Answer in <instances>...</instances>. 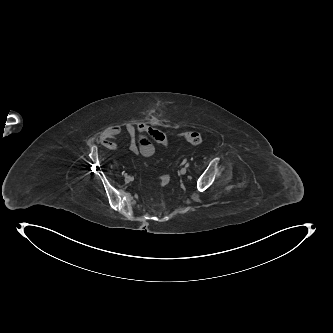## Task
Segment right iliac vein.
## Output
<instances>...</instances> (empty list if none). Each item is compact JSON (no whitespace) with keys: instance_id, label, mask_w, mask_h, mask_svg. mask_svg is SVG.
I'll return each mask as SVG.
<instances>
[{"instance_id":"obj_1","label":"right iliac vein","mask_w":333,"mask_h":333,"mask_svg":"<svg viewBox=\"0 0 333 333\" xmlns=\"http://www.w3.org/2000/svg\"><path fill=\"white\" fill-rule=\"evenodd\" d=\"M125 181L126 183H130L131 181H133V178L131 176H127Z\"/></svg>"}]
</instances>
